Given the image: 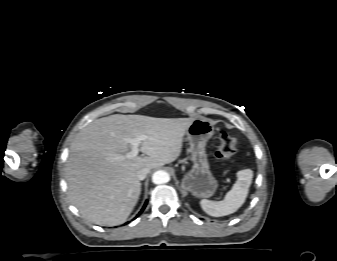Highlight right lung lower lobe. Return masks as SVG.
<instances>
[{
	"label": "right lung lower lobe",
	"mask_w": 337,
	"mask_h": 261,
	"mask_svg": "<svg viewBox=\"0 0 337 261\" xmlns=\"http://www.w3.org/2000/svg\"><path fill=\"white\" fill-rule=\"evenodd\" d=\"M146 205H147V201L145 202V204H144L143 208L141 209V211L139 212V214H141L143 212V210L145 209Z\"/></svg>",
	"instance_id": "98d812e1"
}]
</instances>
